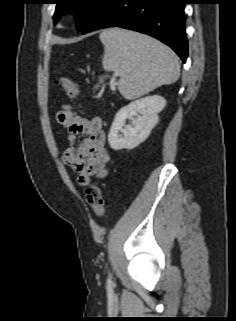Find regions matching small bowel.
Returning <instances> with one entry per match:
<instances>
[{"label": "small bowel", "mask_w": 236, "mask_h": 321, "mask_svg": "<svg viewBox=\"0 0 236 321\" xmlns=\"http://www.w3.org/2000/svg\"><path fill=\"white\" fill-rule=\"evenodd\" d=\"M56 122L67 129L70 143L78 134L87 136L77 147H68L63 155L64 164L78 174V183L85 185L92 178L106 177L109 154L101 119L79 116L71 106L66 105L56 113Z\"/></svg>", "instance_id": "c3829d8e"}]
</instances>
